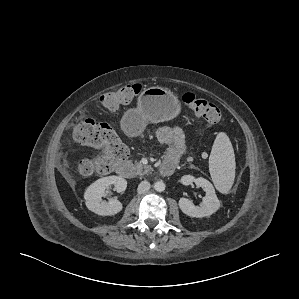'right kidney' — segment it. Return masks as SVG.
<instances>
[{"label": "right kidney", "mask_w": 299, "mask_h": 299, "mask_svg": "<svg viewBox=\"0 0 299 299\" xmlns=\"http://www.w3.org/2000/svg\"><path fill=\"white\" fill-rule=\"evenodd\" d=\"M114 185L117 192H124L127 187V181L119 176H108L96 180L84 193L86 207L101 216H111L119 213L123 206L117 199L111 198L108 202L102 200L105 189Z\"/></svg>", "instance_id": "ca27d5eb"}]
</instances>
